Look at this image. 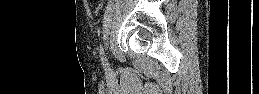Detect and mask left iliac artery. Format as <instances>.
Listing matches in <instances>:
<instances>
[{"label":"left iliac artery","instance_id":"44dca946","mask_svg":"<svg viewBox=\"0 0 259 94\" xmlns=\"http://www.w3.org/2000/svg\"><path fill=\"white\" fill-rule=\"evenodd\" d=\"M99 51H100L101 60H102V63H103V65H104V67H105V68H108V62H107V59H106V57H105L104 49H103L102 45L100 46Z\"/></svg>","mask_w":259,"mask_h":94}]
</instances>
